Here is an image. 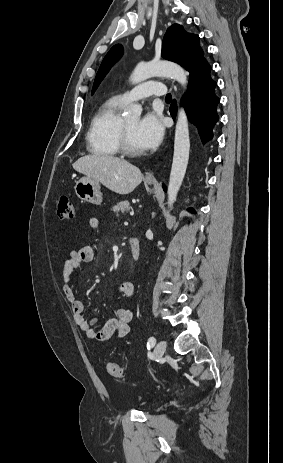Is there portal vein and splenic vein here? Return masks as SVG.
Segmentation results:
<instances>
[{
    "label": "portal vein and splenic vein",
    "instance_id": "18ae733b",
    "mask_svg": "<svg viewBox=\"0 0 283 463\" xmlns=\"http://www.w3.org/2000/svg\"><path fill=\"white\" fill-rule=\"evenodd\" d=\"M130 215L133 216V215H134V211H131V212H130Z\"/></svg>",
    "mask_w": 283,
    "mask_h": 463
}]
</instances>
